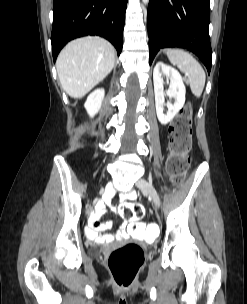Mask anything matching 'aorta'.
Instances as JSON below:
<instances>
[{
	"mask_svg": "<svg viewBox=\"0 0 247 304\" xmlns=\"http://www.w3.org/2000/svg\"><path fill=\"white\" fill-rule=\"evenodd\" d=\"M142 2L147 5L149 3V0H142Z\"/></svg>",
	"mask_w": 247,
	"mask_h": 304,
	"instance_id": "obj_1",
	"label": "aorta"
}]
</instances>
